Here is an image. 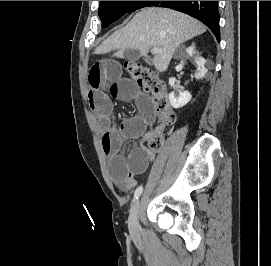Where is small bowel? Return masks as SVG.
Here are the masks:
<instances>
[{
  "label": "small bowel",
  "instance_id": "1",
  "mask_svg": "<svg viewBox=\"0 0 271 266\" xmlns=\"http://www.w3.org/2000/svg\"><path fill=\"white\" fill-rule=\"evenodd\" d=\"M88 102L95 113V125L101 134L102 149L109 156V172L113 183L124 191H129L137 184V177L142 175L153 160V154L144 143L161 128L152 129L153 117L149 98L140 92L137 86L122 76L120 65L114 60L95 63L88 74ZM113 99L134 101L138 113L113 124ZM127 140H139L128 153H122V145Z\"/></svg>",
  "mask_w": 271,
  "mask_h": 266
}]
</instances>
